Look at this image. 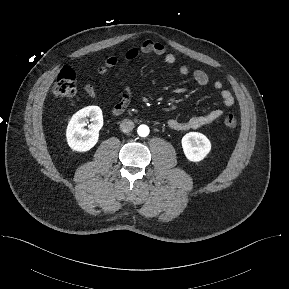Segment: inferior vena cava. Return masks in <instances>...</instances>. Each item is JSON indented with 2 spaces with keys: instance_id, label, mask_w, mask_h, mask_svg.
<instances>
[{
  "instance_id": "602c4592",
  "label": "inferior vena cava",
  "mask_w": 289,
  "mask_h": 289,
  "mask_svg": "<svg viewBox=\"0 0 289 289\" xmlns=\"http://www.w3.org/2000/svg\"><path fill=\"white\" fill-rule=\"evenodd\" d=\"M133 128H134V123L132 120L124 119L120 123V129L124 133H128V132L132 131Z\"/></svg>"
}]
</instances>
